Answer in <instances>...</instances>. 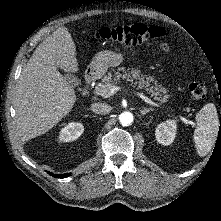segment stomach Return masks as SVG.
<instances>
[{"label": "stomach", "mask_w": 221, "mask_h": 221, "mask_svg": "<svg viewBox=\"0 0 221 221\" xmlns=\"http://www.w3.org/2000/svg\"><path fill=\"white\" fill-rule=\"evenodd\" d=\"M123 61L122 55L113 51H102L97 53L90 65L88 71L90 74L101 77L109 67L118 66Z\"/></svg>", "instance_id": "stomach-1"}]
</instances>
